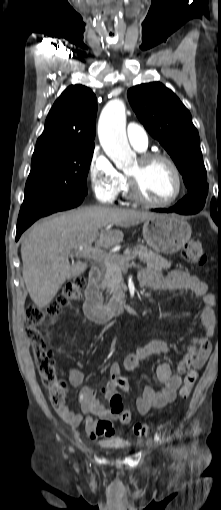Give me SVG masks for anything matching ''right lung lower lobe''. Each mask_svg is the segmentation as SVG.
<instances>
[{"mask_svg":"<svg viewBox=\"0 0 221 510\" xmlns=\"http://www.w3.org/2000/svg\"><path fill=\"white\" fill-rule=\"evenodd\" d=\"M82 201H83V198H81L79 200H76V201H73V202H70V203H67V204H64V205H61V206L52 207V208H50L48 210H45V211L36 210L35 212H33L29 208H24L22 206L21 210H20V213H19L18 222H17L16 241L19 239L21 234L34 221H36L40 217L47 216V215L52 214V213L57 212V211H63V210L74 208V207L80 205L82 203Z\"/></svg>","mask_w":221,"mask_h":510,"instance_id":"98d812e1","label":"right lung lower lobe"}]
</instances>
